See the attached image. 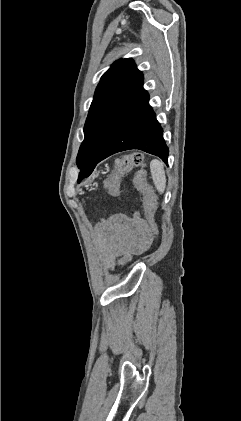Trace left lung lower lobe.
Instances as JSON below:
<instances>
[{
    "label": "left lung lower lobe",
    "mask_w": 241,
    "mask_h": 421,
    "mask_svg": "<svg viewBox=\"0 0 241 421\" xmlns=\"http://www.w3.org/2000/svg\"><path fill=\"white\" fill-rule=\"evenodd\" d=\"M149 95L143 88V79L134 91L99 158L81 169L78 182L88 177L97 163L120 151L139 149L160 157L168 163L169 150L163 138V129L149 105Z\"/></svg>",
    "instance_id": "left-lung-lower-lobe-1"
}]
</instances>
